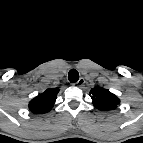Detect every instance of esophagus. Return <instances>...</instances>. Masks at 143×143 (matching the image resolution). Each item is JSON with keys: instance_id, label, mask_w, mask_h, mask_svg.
Listing matches in <instances>:
<instances>
[{"instance_id": "34e87169", "label": "esophagus", "mask_w": 143, "mask_h": 143, "mask_svg": "<svg viewBox=\"0 0 143 143\" xmlns=\"http://www.w3.org/2000/svg\"><path fill=\"white\" fill-rule=\"evenodd\" d=\"M84 84H85L84 78H80L76 83H74V85L78 87H82Z\"/></svg>"}]
</instances>
